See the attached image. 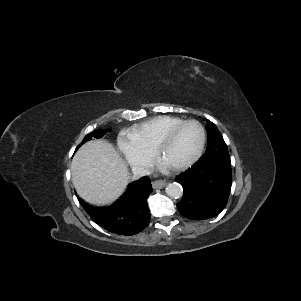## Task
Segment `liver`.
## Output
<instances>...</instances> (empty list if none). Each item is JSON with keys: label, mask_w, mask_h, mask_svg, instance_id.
<instances>
[{"label": "liver", "mask_w": 301, "mask_h": 301, "mask_svg": "<svg viewBox=\"0 0 301 301\" xmlns=\"http://www.w3.org/2000/svg\"><path fill=\"white\" fill-rule=\"evenodd\" d=\"M71 173L78 195L94 205L115 201L129 179L125 162L112 144L103 140L89 141L76 152Z\"/></svg>", "instance_id": "obj_1"}]
</instances>
